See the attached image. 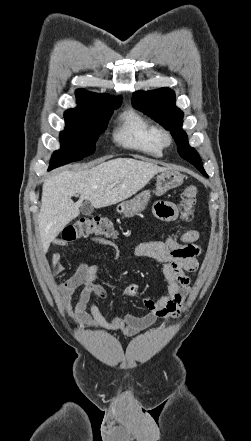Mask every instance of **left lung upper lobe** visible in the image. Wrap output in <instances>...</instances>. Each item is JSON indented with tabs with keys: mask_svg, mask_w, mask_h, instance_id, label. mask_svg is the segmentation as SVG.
Segmentation results:
<instances>
[{
	"mask_svg": "<svg viewBox=\"0 0 251 441\" xmlns=\"http://www.w3.org/2000/svg\"><path fill=\"white\" fill-rule=\"evenodd\" d=\"M132 105L169 130L178 146L179 155L207 176L199 154L189 146L187 134L182 129L184 114L175 106L173 90L164 87L153 91L135 92L132 97Z\"/></svg>",
	"mask_w": 251,
	"mask_h": 441,
	"instance_id": "1",
	"label": "left lung upper lobe"
}]
</instances>
